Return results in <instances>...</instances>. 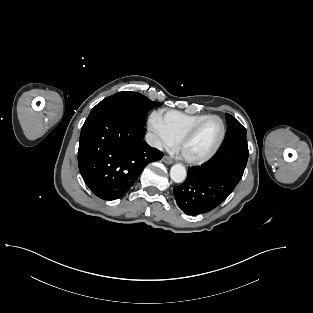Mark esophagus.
I'll return each mask as SVG.
<instances>
[{
	"mask_svg": "<svg viewBox=\"0 0 313 313\" xmlns=\"http://www.w3.org/2000/svg\"><path fill=\"white\" fill-rule=\"evenodd\" d=\"M162 161H163L165 164H168V165H170V164L173 163V160H172L171 158H169L168 156H164V157L162 158Z\"/></svg>",
	"mask_w": 313,
	"mask_h": 313,
	"instance_id": "obj_1",
	"label": "esophagus"
}]
</instances>
